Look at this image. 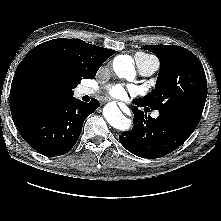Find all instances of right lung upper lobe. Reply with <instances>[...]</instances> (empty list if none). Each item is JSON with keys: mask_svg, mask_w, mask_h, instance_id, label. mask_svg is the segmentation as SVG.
I'll list each match as a JSON object with an SVG mask.
<instances>
[{"mask_svg": "<svg viewBox=\"0 0 221 221\" xmlns=\"http://www.w3.org/2000/svg\"><path fill=\"white\" fill-rule=\"evenodd\" d=\"M116 51L79 39H53L33 48L18 65L10 92L12 116L21 109L73 98L82 79H93Z\"/></svg>", "mask_w": 221, "mask_h": 221, "instance_id": "1", "label": "right lung upper lobe"}]
</instances>
